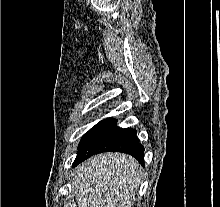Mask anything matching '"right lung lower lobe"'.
Returning <instances> with one entry per match:
<instances>
[{"instance_id":"1","label":"right lung lower lobe","mask_w":220,"mask_h":207,"mask_svg":"<svg viewBox=\"0 0 220 207\" xmlns=\"http://www.w3.org/2000/svg\"><path fill=\"white\" fill-rule=\"evenodd\" d=\"M106 151L130 154L144 164V147L138 142L136 130L117 127L115 119L107 118L96 124L82 137L72 166L75 167L90 156Z\"/></svg>"}]
</instances>
